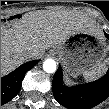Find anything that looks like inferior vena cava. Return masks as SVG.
Wrapping results in <instances>:
<instances>
[{
  "label": "inferior vena cava",
  "mask_w": 109,
  "mask_h": 109,
  "mask_svg": "<svg viewBox=\"0 0 109 109\" xmlns=\"http://www.w3.org/2000/svg\"><path fill=\"white\" fill-rule=\"evenodd\" d=\"M21 55H22L23 59H25V60H30V59L34 58V54L30 50L23 51Z\"/></svg>",
  "instance_id": "602c4592"
}]
</instances>
